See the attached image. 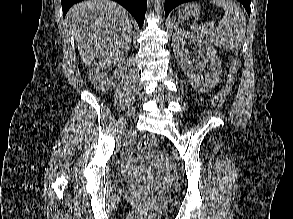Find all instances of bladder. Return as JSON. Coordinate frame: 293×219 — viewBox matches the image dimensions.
Segmentation results:
<instances>
[{
	"mask_svg": "<svg viewBox=\"0 0 293 219\" xmlns=\"http://www.w3.org/2000/svg\"><path fill=\"white\" fill-rule=\"evenodd\" d=\"M143 155L148 156L149 153L144 152ZM118 183L125 189H148L162 200L168 199L171 195V192L168 188L160 186L150 180L140 179L138 177L122 176L119 178Z\"/></svg>",
	"mask_w": 293,
	"mask_h": 219,
	"instance_id": "bladder-1",
	"label": "bladder"
}]
</instances>
